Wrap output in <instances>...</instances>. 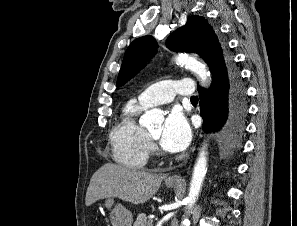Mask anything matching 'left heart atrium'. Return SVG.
Returning <instances> with one entry per match:
<instances>
[{
	"instance_id": "obj_1",
	"label": "left heart atrium",
	"mask_w": 297,
	"mask_h": 226,
	"mask_svg": "<svg viewBox=\"0 0 297 226\" xmlns=\"http://www.w3.org/2000/svg\"><path fill=\"white\" fill-rule=\"evenodd\" d=\"M190 139L191 131L185 117L178 111L171 112L160 135L161 147L168 152H179L188 146Z\"/></svg>"
}]
</instances>
